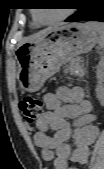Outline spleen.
I'll return each instance as SVG.
<instances>
[{
  "instance_id": "1",
  "label": "spleen",
  "mask_w": 104,
  "mask_h": 169,
  "mask_svg": "<svg viewBox=\"0 0 104 169\" xmlns=\"http://www.w3.org/2000/svg\"><path fill=\"white\" fill-rule=\"evenodd\" d=\"M88 25L98 31L100 35L99 46L102 47L103 46V35H104L103 25L99 23H88Z\"/></svg>"
}]
</instances>
